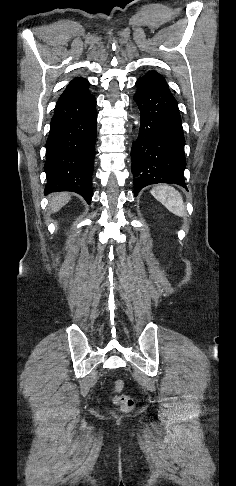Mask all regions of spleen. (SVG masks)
Returning <instances> with one entry per match:
<instances>
[{
    "label": "spleen",
    "instance_id": "spleen-1",
    "mask_svg": "<svg viewBox=\"0 0 236 486\" xmlns=\"http://www.w3.org/2000/svg\"><path fill=\"white\" fill-rule=\"evenodd\" d=\"M150 193L170 212L180 217L184 216L185 205L181 194L176 189L167 185H160L153 188Z\"/></svg>",
    "mask_w": 236,
    "mask_h": 486
}]
</instances>
